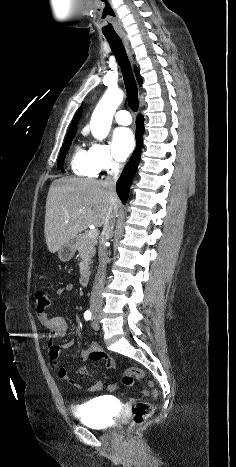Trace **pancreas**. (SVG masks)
<instances>
[{
    "label": "pancreas",
    "instance_id": "1",
    "mask_svg": "<svg viewBox=\"0 0 236 467\" xmlns=\"http://www.w3.org/2000/svg\"><path fill=\"white\" fill-rule=\"evenodd\" d=\"M96 238H89L88 233L76 237V248L82 261L79 264L80 274L88 273L92 257L95 255Z\"/></svg>",
    "mask_w": 236,
    "mask_h": 467
}]
</instances>
